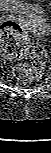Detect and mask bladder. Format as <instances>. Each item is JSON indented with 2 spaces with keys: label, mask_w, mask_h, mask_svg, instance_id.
<instances>
[{
  "label": "bladder",
  "mask_w": 51,
  "mask_h": 153,
  "mask_svg": "<svg viewBox=\"0 0 51 153\" xmlns=\"http://www.w3.org/2000/svg\"><path fill=\"white\" fill-rule=\"evenodd\" d=\"M0 6L4 11L17 14L38 15L42 13V7L32 0H0Z\"/></svg>",
  "instance_id": "obj_1"
}]
</instances>
